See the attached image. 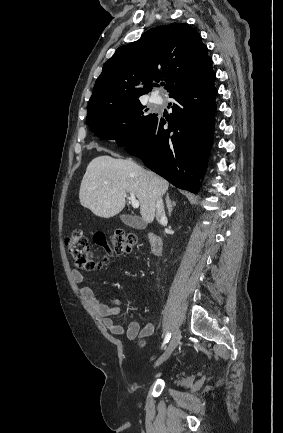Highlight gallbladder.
I'll return each instance as SVG.
<instances>
[{
  "label": "gallbladder",
  "mask_w": 283,
  "mask_h": 433,
  "mask_svg": "<svg viewBox=\"0 0 283 433\" xmlns=\"http://www.w3.org/2000/svg\"><path fill=\"white\" fill-rule=\"evenodd\" d=\"M120 219L124 225L133 227V229H146V223L140 217H131V214H121Z\"/></svg>",
  "instance_id": "1"
}]
</instances>
